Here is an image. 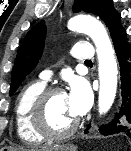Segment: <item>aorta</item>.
<instances>
[{"label": "aorta", "mask_w": 131, "mask_h": 151, "mask_svg": "<svg viewBox=\"0 0 131 151\" xmlns=\"http://www.w3.org/2000/svg\"><path fill=\"white\" fill-rule=\"evenodd\" d=\"M68 28L90 36L96 46L99 72L98 108L105 114L111 108L117 91V63L109 36L101 22L89 15H77L70 19Z\"/></svg>", "instance_id": "aorta-1"}]
</instances>
